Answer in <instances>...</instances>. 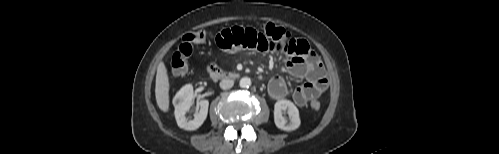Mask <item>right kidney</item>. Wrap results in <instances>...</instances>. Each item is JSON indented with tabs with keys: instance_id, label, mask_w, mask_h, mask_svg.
Masks as SVG:
<instances>
[{
	"instance_id": "ca27d5eb",
	"label": "right kidney",
	"mask_w": 499,
	"mask_h": 154,
	"mask_svg": "<svg viewBox=\"0 0 499 154\" xmlns=\"http://www.w3.org/2000/svg\"><path fill=\"white\" fill-rule=\"evenodd\" d=\"M194 91L191 84L183 86L175 95L173 102L175 106V118L180 128L185 130H196L205 121L208 114V100H200V110L194 115V119L187 121L186 112L193 103Z\"/></svg>"
}]
</instances>
